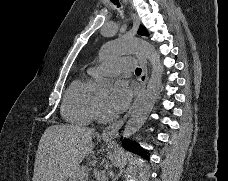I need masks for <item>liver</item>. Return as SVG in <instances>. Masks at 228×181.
I'll return each mask as SVG.
<instances>
[{
    "mask_svg": "<svg viewBox=\"0 0 228 181\" xmlns=\"http://www.w3.org/2000/svg\"><path fill=\"white\" fill-rule=\"evenodd\" d=\"M93 129L53 125L43 133L34 163L32 181H67L93 149Z\"/></svg>",
    "mask_w": 228,
    "mask_h": 181,
    "instance_id": "6515ba94",
    "label": "liver"
}]
</instances>
